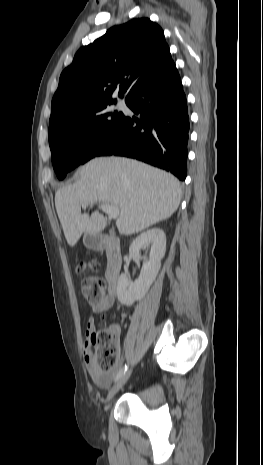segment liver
Returning a JSON list of instances; mask_svg holds the SVG:
<instances>
[{
    "label": "liver",
    "instance_id": "liver-1",
    "mask_svg": "<svg viewBox=\"0 0 263 465\" xmlns=\"http://www.w3.org/2000/svg\"><path fill=\"white\" fill-rule=\"evenodd\" d=\"M78 173L75 183L55 194L56 211L71 247L83 233L99 234L106 227L99 211L82 214V203L118 207L116 226L122 235L141 232L168 219L180 204L182 186L176 177L133 159L95 158Z\"/></svg>",
    "mask_w": 263,
    "mask_h": 465
}]
</instances>
